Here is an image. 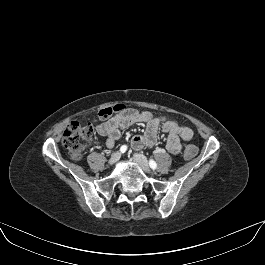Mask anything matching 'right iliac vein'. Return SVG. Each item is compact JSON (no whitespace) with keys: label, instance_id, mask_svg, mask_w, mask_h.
Wrapping results in <instances>:
<instances>
[{"label":"right iliac vein","instance_id":"right-iliac-vein-1","mask_svg":"<svg viewBox=\"0 0 265 265\" xmlns=\"http://www.w3.org/2000/svg\"><path fill=\"white\" fill-rule=\"evenodd\" d=\"M121 157V154L119 152L113 153L110 160L109 165L115 164Z\"/></svg>","mask_w":265,"mask_h":265}]
</instances>
